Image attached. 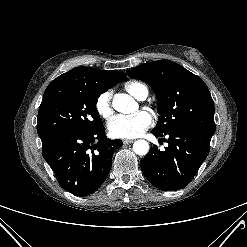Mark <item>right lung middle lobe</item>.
I'll return each mask as SVG.
<instances>
[{"label":"right lung middle lobe","instance_id":"obj_1","mask_svg":"<svg viewBox=\"0 0 247 247\" xmlns=\"http://www.w3.org/2000/svg\"><path fill=\"white\" fill-rule=\"evenodd\" d=\"M107 91L95 84H69L43 96L37 119L41 141L72 132H90L103 126L97 98Z\"/></svg>","mask_w":247,"mask_h":247}]
</instances>
